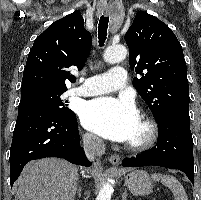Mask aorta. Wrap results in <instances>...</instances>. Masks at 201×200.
<instances>
[{"label":"aorta","instance_id":"1","mask_svg":"<svg viewBox=\"0 0 201 200\" xmlns=\"http://www.w3.org/2000/svg\"><path fill=\"white\" fill-rule=\"evenodd\" d=\"M127 55V49L122 45L110 46L104 53V59L106 62L114 64L125 59ZM113 180H108L101 187L96 200H111V195L113 193V187L111 183Z\"/></svg>","mask_w":201,"mask_h":200}]
</instances>
